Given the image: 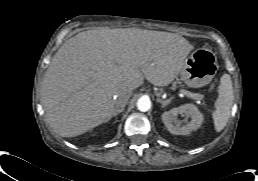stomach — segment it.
Returning a JSON list of instances; mask_svg holds the SVG:
<instances>
[{"label":"stomach","instance_id":"obj_1","mask_svg":"<svg viewBox=\"0 0 258 181\" xmlns=\"http://www.w3.org/2000/svg\"><path fill=\"white\" fill-rule=\"evenodd\" d=\"M217 70L215 54L209 49L199 48L185 59L179 75L188 87L198 88L209 84Z\"/></svg>","mask_w":258,"mask_h":181}]
</instances>
